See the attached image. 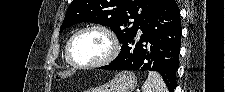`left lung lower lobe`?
Instances as JSON below:
<instances>
[{
    "mask_svg": "<svg viewBox=\"0 0 225 92\" xmlns=\"http://www.w3.org/2000/svg\"><path fill=\"white\" fill-rule=\"evenodd\" d=\"M138 28L143 32L139 42L134 41L135 33L122 44L116 59L101 69L155 70L161 74L169 91L173 92L182 32L176 1L165 0Z\"/></svg>",
    "mask_w": 225,
    "mask_h": 92,
    "instance_id": "left-lung-lower-lobe-1",
    "label": "left lung lower lobe"
}]
</instances>
